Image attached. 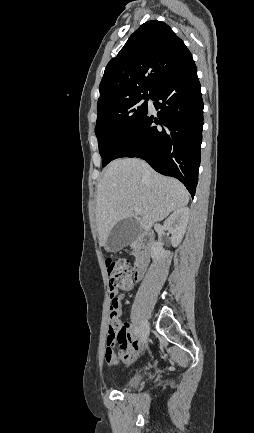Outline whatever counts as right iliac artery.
<instances>
[{
	"label": "right iliac artery",
	"mask_w": 254,
	"mask_h": 433,
	"mask_svg": "<svg viewBox=\"0 0 254 433\" xmlns=\"http://www.w3.org/2000/svg\"><path fill=\"white\" fill-rule=\"evenodd\" d=\"M139 333H140V330L138 327H136L135 334L138 335Z\"/></svg>",
	"instance_id": "82829eb1"
}]
</instances>
